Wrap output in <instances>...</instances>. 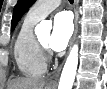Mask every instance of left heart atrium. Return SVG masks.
Here are the masks:
<instances>
[{
  "mask_svg": "<svg viewBox=\"0 0 107 89\" xmlns=\"http://www.w3.org/2000/svg\"><path fill=\"white\" fill-rule=\"evenodd\" d=\"M73 32L71 16L68 12L58 13L53 20V29L49 39V46L54 51L66 48Z\"/></svg>",
  "mask_w": 107,
  "mask_h": 89,
  "instance_id": "39dd6f15",
  "label": "left heart atrium"
}]
</instances>
